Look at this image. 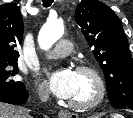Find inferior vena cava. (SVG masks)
Masks as SVG:
<instances>
[{
	"label": "inferior vena cava",
	"mask_w": 133,
	"mask_h": 118,
	"mask_svg": "<svg viewBox=\"0 0 133 118\" xmlns=\"http://www.w3.org/2000/svg\"><path fill=\"white\" fill-rule=\"evenodd\" d=\"M39 97H40L41 101L46 102L49 98V92L46 90H40Z\"/></svg>",
	"instance_id": "obj_1"
}]
</instances>
